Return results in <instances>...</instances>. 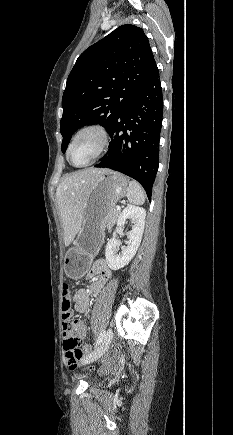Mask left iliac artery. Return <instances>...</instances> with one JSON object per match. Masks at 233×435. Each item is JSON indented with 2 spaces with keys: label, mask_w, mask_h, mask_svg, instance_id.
<instances>
[{
  "label": "left iliac artery",
  "mask_w": 233,
  "mask_h": 435,
  "mask_svg": "<svg viewBox=\"0 0 233 435\" xmlns=\"http://www.w3.org/2000/svg\"><path fill=\"white\" fill-rule=\"evenodd\" d=\"M104 336H105V331L103 330V331H101V333L98 336V339H97V341L95 343L96 346L102 342Z\"/></svg>",
  "instance_id": "left-iliac-artery-1"
}]
</instances>
